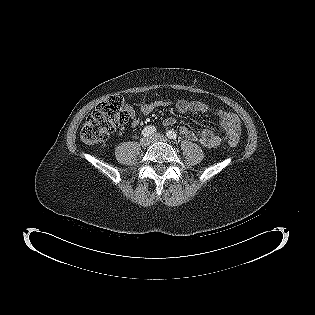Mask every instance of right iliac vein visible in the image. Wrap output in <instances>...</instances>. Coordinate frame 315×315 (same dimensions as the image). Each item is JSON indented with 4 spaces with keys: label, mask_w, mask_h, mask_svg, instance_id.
Masks as SVG:
<instances>
[{
    "label": "right iliac vein",
    "mask_w": 315,
    "mask_h": 315,
    "mask_svg": "<svg viewBox=\"0 0 315 315\" xmlns=\"http://www.w3.org/2000/svg\"><path fill=\"white\" fill-rule=\"evenodd\" d=\"M150 143H151L150 137H142V138L140 139V145H141L142 147H147Z\"/></svg>",
    "instance_id": "1"
}]
</instances>
